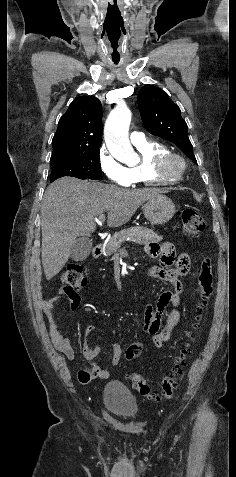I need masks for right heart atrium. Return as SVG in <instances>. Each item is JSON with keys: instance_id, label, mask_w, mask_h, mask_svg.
<instances>
[{"instance_id": "d8ad5b80", "label": "right heart atrium", "mask_w": 236, "mask_h": 477, "mask_svg": "<svg viewBox=\"0 0 236 477\" xmlns=\"http://www.w3.org/2000/svg\"><path fill=\"white\" fill-rule=\"evenodd\" d=\"M99 166L110 182L124 187L129 185L130 177L127 167L122 165L105 145L99 150Z\"/></svg>"}]
</instances>
